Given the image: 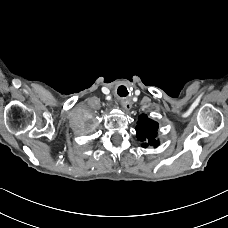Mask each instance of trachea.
Returning a JSON list of instances; mask_svg holds the SVG:
<instances>
[{
  "mask_svg": "<svg viewBox=\"0 0 228 228\" xmlns=\"http://www.w3.org/2000/svg\"><path fill=\"white\" fill-rule=\"evenodd\" d=\"M118 95H119L120 97H125V96H127V95H128V91H127L126 87L120 86V87L118 88Z\"/></svg>",
  "mask_w": 228,
  "mask_h": 228,
  "instance_id": "trachea-1",
  "label": "trachea"
}]
</instances>
